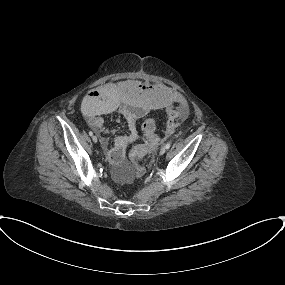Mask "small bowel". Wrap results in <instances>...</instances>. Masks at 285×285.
<instances>
[{"instance_id": "obj_1", "label": "small bowel", "mask_w": 285, "mask_h": 285, "mask_svg": "<svg viewBox=\"0 0 285 285\" xmlns=\"http://www.w3.org/2000/svg\"><path fill=\"white\" fill-rule=\"evenodd\" d=\"M161 108H166L168 119L175 115L183 121L188 116L189 103L162 85L137 80L104 84L90 91L82 102L88 124L99 135L101 147L115 171L125 158L126 147L138 139L137 120ZM113 113L126 122L128 132L115 137L111 144L110 134L115 128L107 127L103 116Z\"/></svg>"}]
</instances>
